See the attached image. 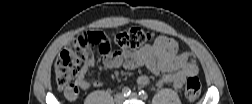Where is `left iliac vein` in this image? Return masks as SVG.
<instances>
[{
    "label": "left iliac vein",
    "mask_w": 252,
    "mask_h": 104,
    "mask_svg": "<svg viewBox=\"0 0 252 104\" xmlns=\"http://www.w3.org/2000/svg\"><path fill=\"white\" fill-rule=\"evenodd\" d=\"M130 98H133V99L138 98L137 93H132V94L130 95Z\"/></svg>",
    "instance_id": "1"
}]
</instances>
